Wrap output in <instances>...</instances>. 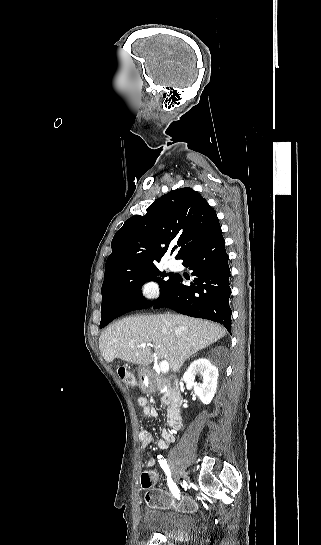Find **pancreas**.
<instances>
[{"label": "pancreas", "instance_id": "pancreas-1", "mask_svg": "<svg viewBox=\"0 0 321 545\" xmlns=\"http://www.w3.org/2000/svg\"><path fill=\"white\" fill-rule=\"evenodd\" d=\"M151 373H152V375H157V373H154V371H148V373H146V375H151ZM168 395H169V393L167 391V393H165L164 397H168Z\"/></svg>", "mask_w": 321, "mask_h": 545}]
</instances>
